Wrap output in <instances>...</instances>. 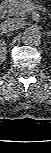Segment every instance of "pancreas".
<instances>
[{"label":"pancreas","mask_w":51,"mask_h":153,"mask_svg":"<svg viewBox=\"0 0 51 153\" xmlns=\"http://www.w3.org/2000/svg\"><path fill=\"white\" fill-rule=\"evenodd\" d=\"M32 4L31 0H18L8 9L9 16L24 17L27 15V7Z\"/></svg>","instance_id":"cf45deb5"}]
</instances>
